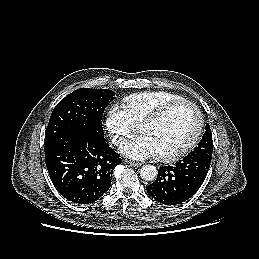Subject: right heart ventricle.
I'll use <instances>...</instances> for the list:
<instances>
[{
    "mask_svg": "<svg viewBox=\"0 0 259 259\" xmlns=\"http://www.w3.org/2000/svg\"><path fill=\"white\" fill-rule=\"evenodd\" d=\"M183 99L182 96L171 92L145 91L125 97L124 104L133 123L139 124L162 106Z\"/></svg>",
    "mask_w": 259,
    "mask_h": 259,
    "instance_id": "obj_1",
    "label": "right heart ventricle"
}]
</instances>
